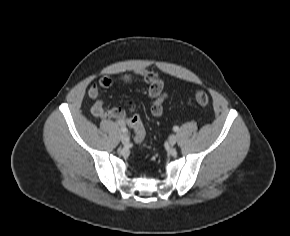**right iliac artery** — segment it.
<instances>
[{"label":"right iliac artery","mask_w":290,"mask_h":236,"mask_svg":"<svg viewBox=\"0 0 290 236\" xmlns=\"http://www.w3.org/2000/svg\"><path fill=\"white\" fill-rule=\"evenodd\" d=\"M121 130H122L123 132H127V129H126V127H125L124 125H121Z\"/></svg>","instance_id":"1"}]
</instances>
